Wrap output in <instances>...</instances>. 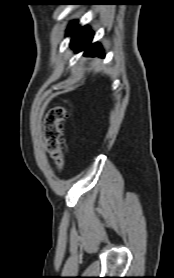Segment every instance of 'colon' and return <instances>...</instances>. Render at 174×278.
<instances>
[{
  "label": "colon",
  "instance_id": "colon-1",
  "mask_svg": "<svg viewBox=\"0 0 174 278\" xmlns=\"http://www.w3.org/2000/svg\"><path fill=\"white\" fill-rule=\"evenodd\" d=\"M65 119L66 110L63 106L51 108L44 119L43 134L46 149L59 168L64 164L63 123Z\"/></svg>",
  "mask_w": 174,
  "mask_h": 278
}]
</instances>
